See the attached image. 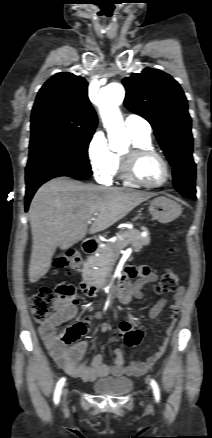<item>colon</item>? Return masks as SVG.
Returning a JSON list of instances; mask_svg holds the SVG:
<instances>
[{
    "label": "colon",
    "mask_w": 212,
    "mask_h": 438,
    "mask_svg": "<svg viewBox=\"0 0 212 438\" xmlns=\"http://www.w3.org/2000/svg\"><path fill=\"white\" fill-rule=\"evenodd\" d=\"M81 263V256L75 250H68L60 254L54 261L56 268H70L76 270ZM179 288V278L172 271H166L160 281L156 285L158 293L175 292ZM60 300L68 303L75 302L74 288L68 284L61 285L57 288V296L54 295L52 289L41 287L30 300L31 311L34 319L39 324L49 323L57 313ZM86 332L84 323L79 322L70 325L59 332L58 337L66 342L72 343Z\"/></svg>",
    "instance_id": "1"
}]
</instances>
